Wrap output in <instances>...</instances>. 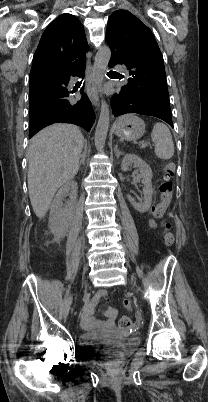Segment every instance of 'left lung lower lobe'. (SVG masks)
Here are the masks:
<instances>
[{
    "instance_id": "left-lung-lower-lobe-1",
    "label": "left lung lower lobe",
    "mask_w": 208,
    "mask_h": 402,
    "mask_svg": "<svg viewBox=\"0 0 208 402\" xmlns=\"http://www.w3.org/2000/svg\"><path fill=\"white\" fill-rule=\"evenodd\" d=\"M116 64H122L121 58L112 51L109 66L113 67ZM111 107L114 116L127 113L149 115L160 118L173 127L170 103L156 99L154 95L148 94L136 86L129 84L123 86L119 93L112 96Z\"/></svg>"
}]
</instances>
